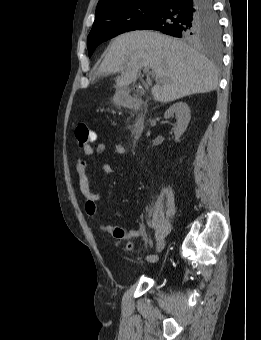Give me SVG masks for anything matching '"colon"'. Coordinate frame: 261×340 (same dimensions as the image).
Masks as SVG:
<instances>
[{
  "label": "colon",
  "instance_id": "5ec220e1",
  "mask_svg": "<svg viewBox=\"0 0 261 340\" xmlns=\"http://www.w3.org/2000/svg\"><path fill=\"white\" fill-rule=\"evenodd\" d=\"M75 137H76L77 143L80 146H83L87 143L95 141L97 139V134L94 131L90 130L89 127L85 123H80L75 128ZM127 249L132 250L133 245L128 244Z\"/></svg>",
  "mask_w": 261,
  "mask_h": 340
}]
</instances>
